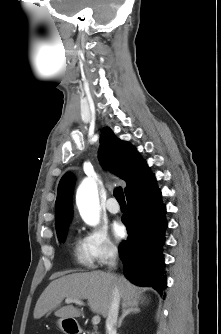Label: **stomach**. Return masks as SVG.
Segmentation results:
<instances>
[{
  "label": "stomach",
  "instance_id": "1",
  "mask_svg": "<svg viewBox=\"0 0 221 334\" xmlns=\"http://www.w3.org/2000/svg\"><path fill=\"white\" fill-rule=\"evenodd\" d=\"M59 328L66 334H68L71 328L77 329L78 325L74 320H68L65 318H60L57 322Z\"/></svg>",
  "mask_w": 221,
  "mask_h": 334
}]
</instances>
